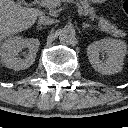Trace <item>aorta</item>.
<instances>
[{"label": "aorta", "mask_w": 128, "mask_h": 128, "mask_svg": "<svg viewBox=\"0 0 128 128\" xmlns=\"http://www.w3.org/2000/svg\"><path fill=\"white\" fill-rule=\"evenodd\" d=\"M75 37L73 28L66 26L60 31L59 39L63 43H69Z\"/></svg>", "instance_id": "aorta-1"}]
</instances>
